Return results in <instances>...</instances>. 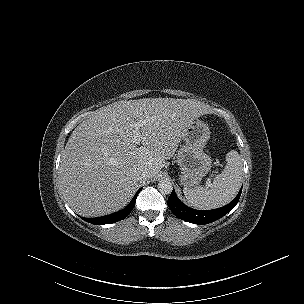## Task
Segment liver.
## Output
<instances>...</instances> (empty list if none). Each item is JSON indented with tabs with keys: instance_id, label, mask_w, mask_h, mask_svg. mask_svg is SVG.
Here are the masks:
<instances>
[{
	"instance_id": "liver-1",
	"label": "liver",
	"mask_w": 304,
	"mask_h": 304,
	"mask_svg": "<svg viewBox=\"0 0 304 304\" xmlns=\"http://www.w3.org/2000/svg\"><path fill=\"white\" fill-rule=\"evenodd\" d=\"M208 112L191 99L144 98L118 101L80 123L66 143L60 162V187L79 215L97 217L127 205L144 169L149 179L173 157L187 126ZM136 122L141 146L133 143Z\"/></svg>"
}]
</instances>
